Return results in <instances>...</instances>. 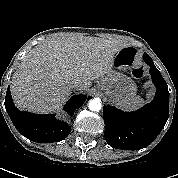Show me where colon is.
<instances>
[{
  "mask_svg": "<svg viewBox=\"0 0 178 178\" xmlns=\"http://www.w3.org/2000/svg\"><path fill=\"white\" fill-rule=\"evenodd\" d=\"M135 75L140 77L142 75V70L140 68L135 70Z\"/></svg>",
  "mask_w": 178,
  "mask_h": 178,
  "instance_id": "1",
  "label": "colon"
}]
</instances>
